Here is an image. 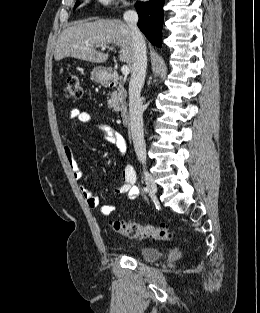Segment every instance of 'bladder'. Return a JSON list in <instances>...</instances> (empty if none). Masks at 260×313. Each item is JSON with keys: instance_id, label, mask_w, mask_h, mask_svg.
Returning <instances> with one entry per match:
<instances>
[{"instance_id": "31cf9c89", "label": "bladder", "mask_w": 260, "mask_h": 313, "mask_svg": "<svg viewBox=\"0 0 260 313\" xmlns=\"http://www.w3.org/2000/svg\"><path fill=\"white\" fill-rule=\"evenodd\" d=\"M134 248H136L141 257L147 261L158 260L162 256L161 251L154 247L135 246Z\"/></svg>"}]
</instances>
